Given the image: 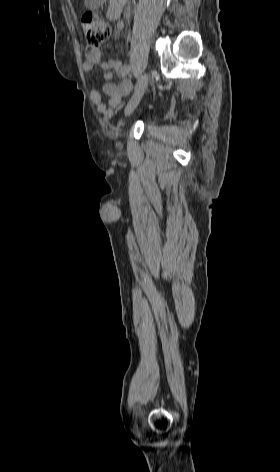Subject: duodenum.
<instances>
[{
    "label": "duodenum",
    "instance_id": "obj_1",
    "mask_svg": "<svg viewBox=\"0 0 280 472\" xmlns=\"http://www.w3.org/2000/svg\"><path fill=\"white\" fill-rule=\"evenodd\" d=\"M126 2L127 0H111L107 10L108 19L111 21L117 20L120 17Z\"/></svg>",
    "mask_w": 280,
    "mask_h": 472
}]
</instances>
